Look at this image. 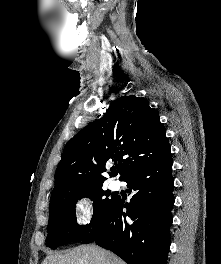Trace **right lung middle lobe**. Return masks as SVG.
<instances>
[{"label":"right lung middle lobe","mask_w":221,"mask_h":264,"mask_svg":"<svg viewBox=\"0 0 221 264\" xmlns=\"http://www.w3.org/2000/svg\"><path fill=\"white\" fill-rule=\"evenodd\" d=\"M89 197L94 203L90 224L79 226L75 205L80 198ZM117 197L102 186L63 197L50 207L46 246L54 248L68 242L82 241L113 207Z\"/></svg>","instance_id":"1"}]
</instances>
